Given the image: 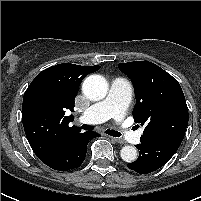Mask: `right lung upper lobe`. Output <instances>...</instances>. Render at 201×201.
Here are the masks:
<instances>
[{
    "label": "right lung upper lobe",
    "instance_id": "cb5924a9",
    "mask_svg": "<svg viewBox=\"0 0 201 201\" xmlns=\"http://www.w3.org/2000/svg\"><path fill=\"white\" fill-rule=\"evenodd\" d=\"M100 66H80L62 63L40 72L23 96L22 122L27 140L37 155L43 158L57 152L73 135L80 132L69 126L74 99L84 77Z\"/></svg>",
    "mask_w": 201,
    "mask_h": 201
}]
</instances>
